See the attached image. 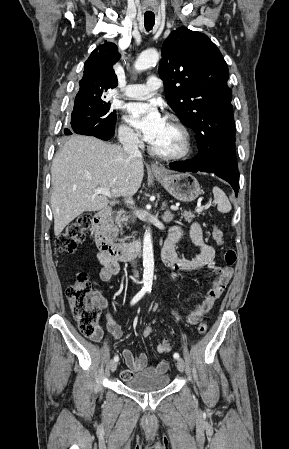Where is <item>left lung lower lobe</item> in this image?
Segmentation results:
<instances>
[{"label":"left lung lower lobe","instance_id":"1","mask_svg":"<svg viewBox=\"0 0 289 449\" xmlns=\"http://www.w3.org/2000/svg\"><path fill=\"white\" fill-rule=\"evenodd\" d=\"M217 149L220 152H228L230 150L229 145L223 142V145H218ZM170 168L180 172H207L215 173L218 177L229 182L238 194L239 190V173L237 169V158L236 154L231 155V157L226 161H220L217 159H202L198 155L191 160L173 162L169 164Z\"/></svg>","mask_w":289,"mask_h":449}]
</instances>
